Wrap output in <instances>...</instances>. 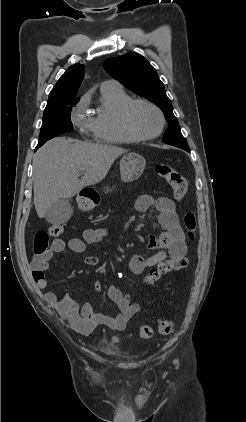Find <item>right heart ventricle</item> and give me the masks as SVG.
Here are the masks:
<instances>
[{
    "mask_svg": "<svg viewBox=\"0 0 246 422\" xmlns=\"http://www.w3.org/2000/svg\"><path fill=\"white\" fill-rule=\"evenodd\" d=\"M121 87H105L100 91V109L93 119V134L99 142L124 144L136 141L123 128L122 107L131 100Z\"/></svg>",
    "mask_w": 246,
    "mask_h": 422,
    "instance_id": "e07e8e85",
    "label": "right heart ventricle"
}]
</instances>
